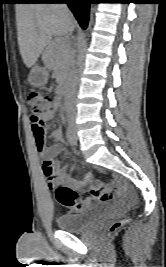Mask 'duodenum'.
<instances>
[{"instance_id": "duodenum-1", "label": "duodenum", "mask_w": 166, "mask_h": 267, "mask_svg": "<svg viewBox=\"0 0 166 267\" xmlns=\"http://www.w3.org/2000/svg\"><path fill=\"white\" fill-rule=\"evenodd\" d=\"M59 93L61 97H64L67 93V84L63 82L60 86Z\"/></svg>"}]
</instances>
